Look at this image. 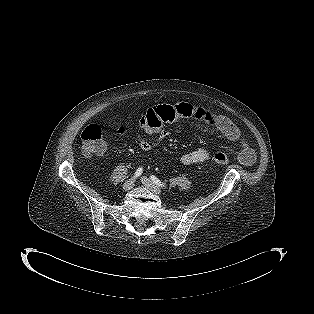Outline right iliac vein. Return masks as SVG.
<instances>
[{"instance_id":"obj_1","label":"right iliac vein","mask_w":314,"mask_h":314,"mask_svg":"<svg viewBox=\"0 0 314 314\" xmlns=\"http://www.w3.org/2000/svg\"><path fill=\"white\" fill-rule=\"evenodd\" d=\"M133 185H134V179H129L123 184V189L125 191H128L132 189Z\"/></svg>"}]
</instances>
